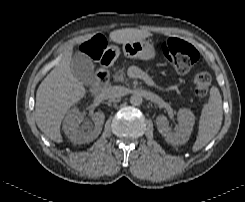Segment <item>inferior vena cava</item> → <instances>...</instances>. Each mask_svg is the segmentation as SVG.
<instances>
[{
    "instance_id": "1",
    "label": "inferior vena cava",
    "mask_w": 245,
    "mask_h": 202,
    "mask_svg": "<svg viewBox=\"0 0 245 202\" xmlns=\"http://www.w3.org/2000/svg\"><path fill=\"white\" fill-rule=\"evenodd\" d=\"M125 95V89L122 86H112L104 91V96L106 98H120Z\"/></svg>"
}]
</instances>
